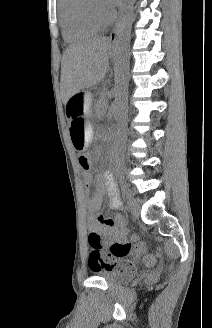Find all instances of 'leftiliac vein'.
I'll return each instance as SVG.
<instances>
[{
    "mask_svg": "<svg viewBox=\"0 0 212 328\" xmlns=\"http://www.w3.org/2000/svg\"><path fill=\"white\" fill-rule=\"evenodd\" d=\"M127 206L129 211L131 212V214L134 217H138L140 214V210H139V206L132 194V192H129L128 196H127Z\"/></svg>",
    "mask_w": 212,
    "mask_h": 328,
    "instance_id": "1",
    "label": "left iliac vein"
}]
</instances>
